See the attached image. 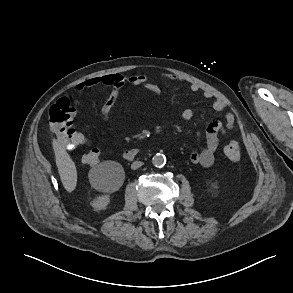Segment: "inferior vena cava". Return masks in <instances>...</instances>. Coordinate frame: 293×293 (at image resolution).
I'll return each instance as SVG.
<instances>
[{"instance_id":"602c4592","label":"inferior vena cava","mask_w":293,"mask_h":293,"mask_svg":"<svg viewBox=\"0 0 293 293\" xmlns=\"http://www.w3.org/2000/svg\"><path fill=\"white\" fill-rule=\"evenodd\" d=\"M142 165H143V163L141 161H135L131 164V169L136 170Z\"/></svg>"}]
</instances>
